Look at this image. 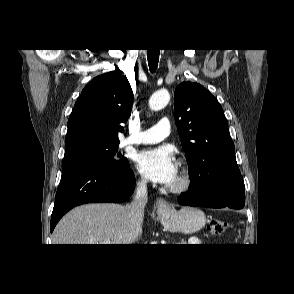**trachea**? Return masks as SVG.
I'll use <instances>...</instances> for the list:
<instances>
[{
	"label": "trachea",
	"instance_id": "1",
	"mask_svg": "<svg viewBox=\"0 0 294 294\" xmlns=\"http://www.w3.org/2000/svg\"><path fill=\"white\" fill-rule=\"evenodd\" d=\"M147 59H148L149 69L152 73H154L158 66L159 49L147 50Z\"/></svg>",
	"mask_w": 294,
	"mask_h": 294
}]
</instances>
